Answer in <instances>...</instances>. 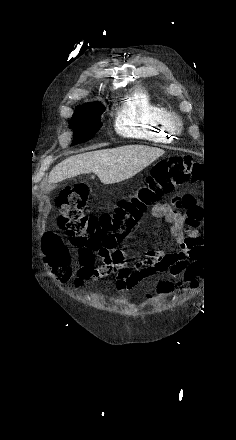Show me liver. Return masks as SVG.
Segmentation results:
<instances>
[{"label": "liver", "mask_w": 236, "mask_h": 440, "mask_svg": "<svg viewBox=\"0 0 236 440\" xmlns=\"http://www.w3.org/2000/svg\"><path fill=\"white\" fill-rule=\"evenodd\" d=\"M164 154V150L143 145H127L70 156L56 165L48 183L55 184L80 174L95 173L105 184L129 179Z\"/></svg>", "instance_id": "1"}]
</instances>
